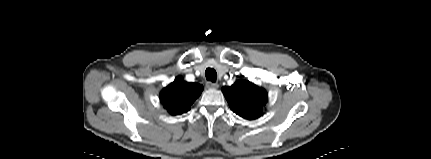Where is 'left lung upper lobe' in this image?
I'll return each instance as SVG.
<instances>
[{
	"label": "left lung upper lobe",
	"instance_id": "1",
	"mask_svg": "<svg viewBox=\"0 0 431 159\" xmlns=\"http://www.w3.org/2000/svg\"><path fill=\"white\" fill-rule=\"evenodd\" d=\"M222 91L236 114L250 120L261 116L267 102V93L263 88L247 80H240L231 87H224Z\"/></svg>",
	"mask_w": 431,
	"mask_h": 159
}]
</instances>
